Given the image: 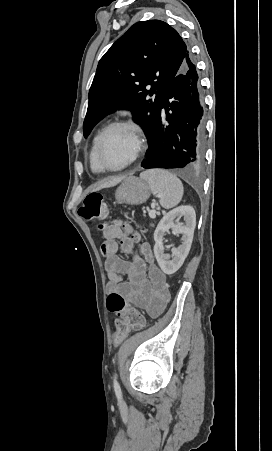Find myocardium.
<instances>
[{
  "label": "myocardium",
  "instance_id": "obj_1",
  "mask_svg": "<svg viewBox=\"0 0 272 451\" xmlns=\"http://www.w3.org/2000/svg\"><path fill=\"white\" fill-rule=\"evenodd\" d=\"M114 129H121L126 132L129 141H130V156L128 161L119 169L116 170H109L103 167L100 164L99 156H100V150L103 145V142L105 140L106 135L114 130ZM141 145V133L140 131L132 124L128 122H115L109 124L99 135L96 145H95V160L97 164V170L100 173L104 172H113V173H119L124 170H126L137 158L138 152L140 150Z\"/></svg>",
  "mask_w": 272,
  "mask_h": 451
}]
</instances>
